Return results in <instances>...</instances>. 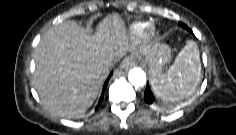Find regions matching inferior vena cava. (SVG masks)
I'll list each match as a JSON object with an SVG mask.
<instances>
[{
  "instance_id": "602c4592",
  "label": "inferior vena cava",
  "mask_w": 236,
  "mask_h": 135,
  "mask_svg": "<svg viewBox=\"0 0 236 135\" xmlns=\"http://www.w3.org/2000/svg\"><path fill=\"white\" fill-rule=\"evenodd\" d=\"M114 64V59H110L106 62L105 66L110 69Z\"/></svg>"
}]
</instances>
